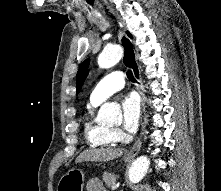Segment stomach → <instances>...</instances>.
I'll return each mask as SVG.
<instances>
[{
    "instance_id": "obj_1",
    "label": "stomach",
    "mask_w": 221,
    "mask_h": 191,
    "mask_svg": "<svg viewBox=\"0 0 221 191\" xmlns=\"http://www.w3.org/2000/svg\"><path fill=\"white\" fill-rule=\"evenodd\" d=\"M124 161H130V158L124 157ZM85 174L82 170L72 168L64 174L58 182L57 191H83Z\"/></svg>"
}]
</instances>
